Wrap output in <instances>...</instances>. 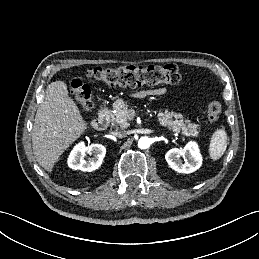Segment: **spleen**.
I'll list each match as a JSON object with an SVG mask.
<instances>
[{"instance_id": "3e777b00", "label": "spleen", "mask_w": 259, "mask_h": 259, "mask_svg": "<svg viewBox=\"0 0 259 259\" xmlns=\"http://www.w3.org/2000/svg\"><path fill=\"white\" fill-rule=\"evenodd\" d=\"M227 148V133L224 128L217 129L209 145L210 157L215 161L221 158Z\"/></svg>"}]
</instances>
